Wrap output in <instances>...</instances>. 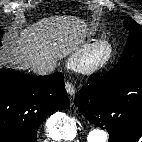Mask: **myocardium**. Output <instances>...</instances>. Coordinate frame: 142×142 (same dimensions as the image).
I'll return each mask as SVG.
<instances>
[{"label": "myocardium", "instance_id": "f54148a6", "mask_svg": "<svg viewBox=\"0 0 142 142\" xmlns=\"http://www.w3.org/2000/svg\"><path fill=\"white\" fill-rule=\"evenodd\" d=\"M113 54V44L107 39H99L80 49L71 59V66L83 74H92L104 68Z\"/></svg>", "mask_w": 142, "mask_h": 142}]
</instances>
